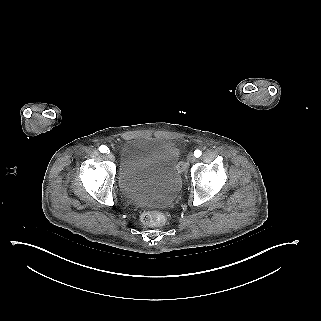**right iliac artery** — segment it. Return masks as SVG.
Here are the masks:
<instances>
[{
	"instance_id": "right-iliac-artery-1",
	"label": "right iliac artery",
	"mask_w": 321,
	"mask_h": 321,
	"mask_svg": "<svg viewBox=\"0 0 321 321\" xmlns=\"http://www.w3.org/2000/svg\"><path fill=\"white\" fill-rule=\"evenodd\" d=\"M99 151L101 153H106V152H109L108 148L105 146V145H102L99 147Z\"/></svg>"
}]
</instances>
